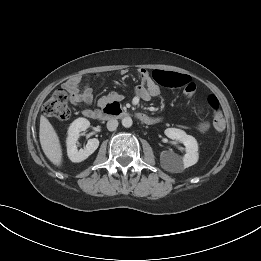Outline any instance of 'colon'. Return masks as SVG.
<instances>
[{"label": "colon", "instance_id": "colon-1", "mask_svg": "<svg viewBox=\"0 0 261 261\" xmlns=\"http://www.w3.org/2000/svg\"><path fill=\"white\" fill-rule=\"evenodd\" d=\"M70 95L64 88L56 90L53 95L45 102L43 112L49 117H54L59 120H67L71 115L69 107ZM206 102L213 110V127L217 131H223L226 123L219 108V101L214 95H207Z\"/></svg>", "mask_w": 261, "mask_h": 261}]
</instances>
